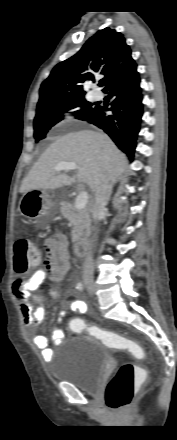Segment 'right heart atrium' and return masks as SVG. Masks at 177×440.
I'll list each match as a JSON object with an SVG mask.
<instances>
[{
	"instance_id": "d8ad5b80",
	"label": "right heart atrium",
	"mask_w": 177,
	"mask_h": 440,
	"mask_svg": "<svg viewBox=\"0 0 177 440\" xmlns=\"http://www.w3.org/2000/svg\"><path fill=\"white\" fill-rule=\"evenodd\" d=\"M63 117H64L65 119H71V118H72V115H71V113H70L69 111H66V112L63 113Z\"/></svg>"
}]
</instances>
